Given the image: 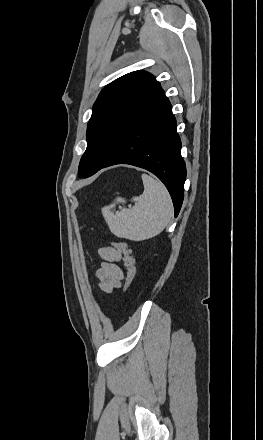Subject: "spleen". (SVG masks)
Returning a JSON list of instances; mask_svg holds the SVG:
<instances>
[{"mask_svg": "<svg viewBox=\"0 0 263 440\" xmlns=\"http://www.w3.org/2000/svg\"><path fill=\"white\" fill-rule=\"evenodd\" d=\"M144 191L132 201L136 205L132 208H122L115 213L117 203H125V199L116 200L102 208L103 217L110 231L120 238L133 241H142L159 234L168 224L173 204L171 197L161 181L147 174L141 176Z\"/></svg>", "mask_w": 263, "mask_h": 440, "instance_id": "1", "label": "spleen"}]
</instances>
